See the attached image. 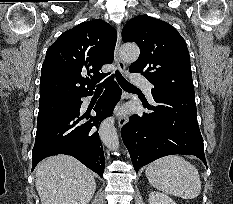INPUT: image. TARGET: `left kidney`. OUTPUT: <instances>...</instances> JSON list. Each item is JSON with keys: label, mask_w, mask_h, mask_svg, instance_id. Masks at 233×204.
I'll list each match as a JSON object with an SVG mask.
<instances>
[{"label": "left kidney", "mask_w": 233, "mask_h": 204, "mask_svg": "<svg viewBox=\"0 0 233 204\" xmlns=\"http://www.w3.org/2000/svg\"><path fill=\"white\" fill-rule=\"evenodd\" d=\"M149 204H176L168 195L152 191L148 198Z\"/></svg>", "instance_id": "left-kidney-1"}]
</instances>
